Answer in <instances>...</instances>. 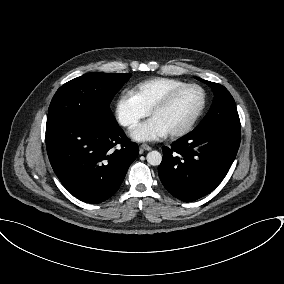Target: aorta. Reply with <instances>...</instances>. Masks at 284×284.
Returning <instances> with one entry per match:
<instances>
[{"label": "aorta", "mask_w": 284, "mask_h": 284, "mask_svg": "<svg viewBox=\"0 0 284 284\" xmlns=\"http://www.w3.org/2000/svg\"><path fill=\"white\" fill-rule=\"evenodd\" d=\"M147 162L152 165V166H158L161 164L162 162V155L160 152L154 150V151H150L147 154Z\"/></svg>", "instance_id": "obj_1"}]
</instances>
